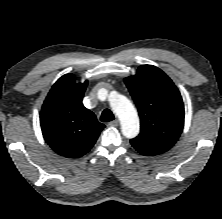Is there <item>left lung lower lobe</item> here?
Masks as SVG:
<instances>
[{
    "label": "left lung lower lobe",
    "mask_w": 222,
    "mask_h": 219,
    "mask_svg": "<svg viewBox=\"0 0 222 219\" xmlns=\"http://www.w3.org/2000/svg\"><path fill=\"white\" fill-rule=\"evenodd\" d=\"M131 144L142 155H158V154L164 153V151H161L158 149L147 148V147L137 145L134 143H131Z\"/></svg>",
    "instance_id": "0a47b994"
}]
</instances>
